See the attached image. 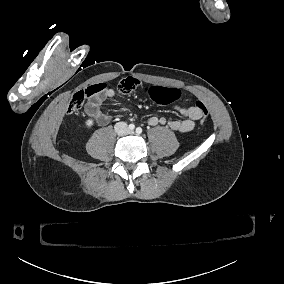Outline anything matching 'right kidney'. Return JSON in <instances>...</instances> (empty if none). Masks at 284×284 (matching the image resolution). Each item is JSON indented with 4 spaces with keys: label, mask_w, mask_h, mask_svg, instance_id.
Instances as JSON below:
<instances>
[{
    "label": "right kidney",
    "mask_w": 284,
    "mask_h": 284,
    "mask_svg": "<svg viewBox=\"0 0 284 284\" xmlns=\"http://www.w3.org/2000/svg\"><path fill=\"white\" fill-rule=\"evenodd\" d=\"M94 125H95V119L92 118V117L87 118L84 121V126H85V129H87V130L92 129Z\"/></svg>",
    "instance_id": "obj_1"
}]
</instances>
